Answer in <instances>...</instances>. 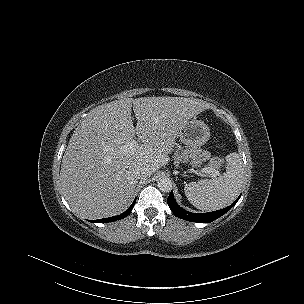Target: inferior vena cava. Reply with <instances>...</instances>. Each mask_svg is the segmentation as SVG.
Instances as JSON below:
<instances>
[{
	"mask_svg": "<svg viewBox=\"0 0 304 304\" xmlns=\"http://www.w3.org/2000/svg\"><path fill=\"white\" fill-rule=\"evenodd\" d=\"M134 173L137 179H146L152 175L151 169L146 166L137 167Z\"/></svg>",
	"mask_w": 304,
	"mask_h": 304,
	"instance_id": "inferior-vena-cava-1",
	"label": "inferior vena cava"
}]
</instances>
